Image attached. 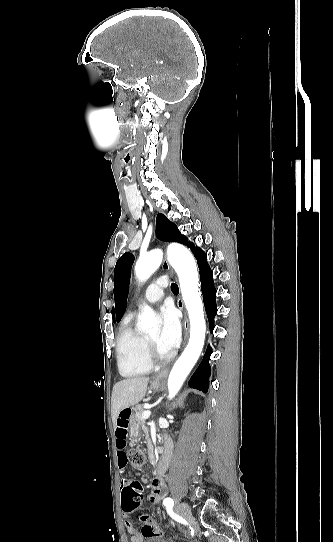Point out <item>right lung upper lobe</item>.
Masks as SVG:
<instances>
[{
  "mask_svg": "<svg viewBox=\"0 0 333 542\" xmlns=\"http://www.w3.org/2000/svg\"><path fill=\"white\" fill-rule=\"evenodd\" d=\"M112 313H113V320L115 321V319H114V311L113 310H112Z\"/></svg>",
  "mask_w": 333,
  "mask_h": 542,
  "instance_id": "cb5924a9",
  "label": "right lung upper lobe"
}]
</instances>
